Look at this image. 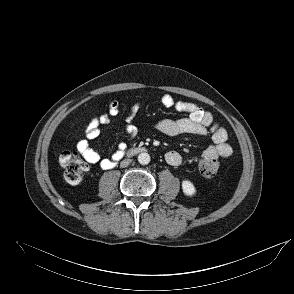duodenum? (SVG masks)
<instances>
[{
    "instance_id": "410a0bca",
    "label": "duodenum",
    "mask_w": 294,
    "mask_h": 294,
    "mask_svg": "<svg viewBox=\"0 0 294 294\" xmlns=\"http://www.w3.org/2000/svg\"><path fill=\"white\" fill-rule=\"evenodd\" d=\"M137 150H138V148H136V147L129 149L128 155L134 154Z\"/></svg>"
}]
</instances>
